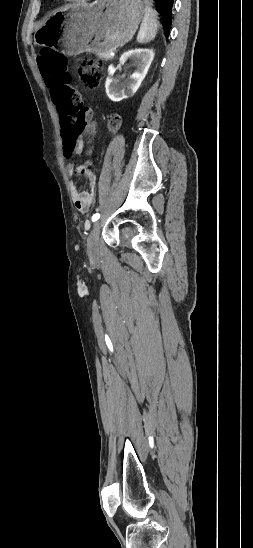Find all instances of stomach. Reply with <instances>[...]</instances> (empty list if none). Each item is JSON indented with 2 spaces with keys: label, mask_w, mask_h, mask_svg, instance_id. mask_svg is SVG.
<instances>
[{
  "label": "stomach",
  "mask_w": 253,
  "mask_h": 548,
  "mask_svg": "<svg viewBox=\"0 0 253 548\" xmlns=\"http://www.w3.org/2000/svg\"><path fill=\"white\" fill-rule=\"evenodd\" d=\"M144 15L141 0H96L69 5L35 33L40 45L57 46L66 55L107 53L128 43Z\"/></svg>",
  "instance_id": "stomach-1"
}]
</instances>
